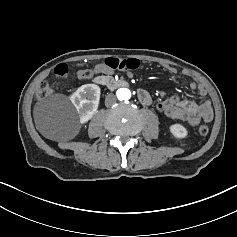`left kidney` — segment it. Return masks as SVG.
<instances>
[{"label": "left kidney", "instance_id": "5707ae66", "mask_svg": "<svg viewBox=\"0 0 237 237\" xmlns=\"http://www.w3.org/2000/svg\"><path fill=\"white\" fill-rule=\"evenodd\" d=\"M169 131L171 135L177 139H184L188 136L187 128L180 123L171 124L169 126Z\"/></svg>", "mask_w": 237, "mask_h": 237}]
</instances>
